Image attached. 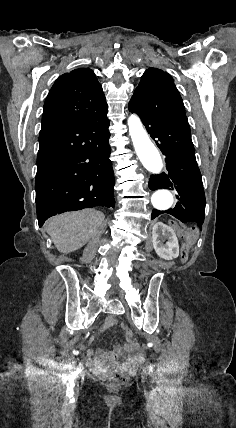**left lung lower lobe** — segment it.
<instances>
[{
    "mask_svg": "<svg viewBox=\"0 0 236 428\" xmlns=\"http://www.w3.org/2000/svg\"><path fill=\"white\" fill-rule=\"evenodd\" d=\"M138 113L148 133L166 156L167 173L151 175V190L169 189L178 193L175 208L166 211L154 209L151 219L162 213L171 214L183 223H195L200 230L205 215V194L198 168L189 125L164 117H151Z\"/></svg>",
    "mask_w": 236,
    "mask_h": 428,
    "instance_id": "1",
    "label": "left lung lower lobe"
}]
</instances>
